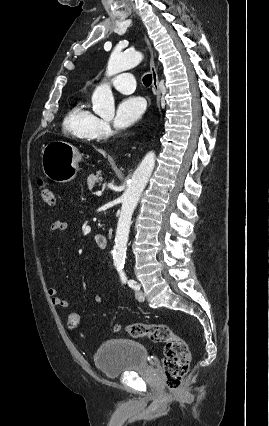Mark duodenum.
Segmentation results:
<instances>
[{
	"instance_id": "410a0bca",
	"label": "duodenum",
	"mask_w": 269,
	"mask_h": 426,
	"mask_svg": "<svg viewBox=\"0 0 269 426\" xmlns=\"http://www.w3.org/2000/svg\"><path fill=\"white\" fill-rule=\"evenodd\" d=\"M95 241L100 249H106L108 246V238L103 234H97L95 236Z\"/></svg>"
}]
</instances>
